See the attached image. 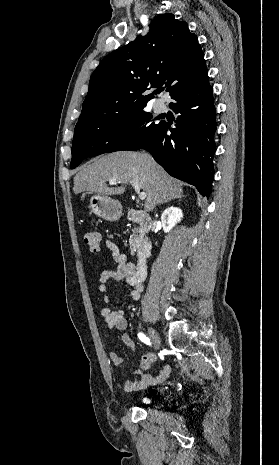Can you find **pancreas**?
I'll list each match as a JSON object with an SVG mask.
<instances>
[{"instance_id":"pancreas-1","label":"pancreas","mask_w":279,"mask_h":465,"mask_svg":"<svg viewBox=\"0 0 279 465\" xmlns=\"http://www.w3.org/2000/svg\"><path fill=\"white\" fill-rule=\"evenodd\" d=\"M140 243H141V237L138 235V228H135L133 230V234L130 236V239H129L131 254H134V252L137 250Z\"/></svg>"}]
</instances>
